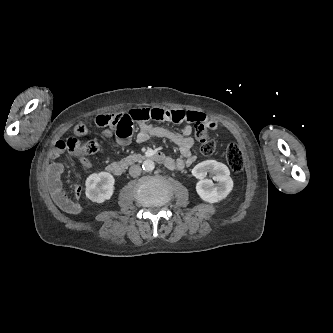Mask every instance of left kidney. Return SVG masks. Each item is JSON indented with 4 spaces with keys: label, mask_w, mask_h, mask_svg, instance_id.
<instances>
[{
    "label": "left kidney",
    "mask_w": 333,
    "mask_h": 333,
    "mask_svg": "<svg viewBox=\"0 0 333 333\" xmlns=\"http://www.w3.org/2000/svg\"><path fill=\"white\" fill-rule=\"evenodd\" d=\"M207 173L215 175L213 180L216 181L217 184L205 178ZM192 174L200 180L196 185V191L200 198L206 202L216 203L223 200L233 188V180L230 177V171L228 167L221 162L215 160L203 161L192 169Z\"/></svg>",
    "instance_id": "left-kidney-1"
}]
</instances>
